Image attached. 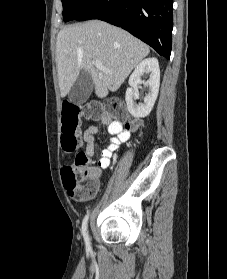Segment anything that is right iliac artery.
<instances>
[{"label": "right iliac artery", "instance_id": "1", "mask_svg": "<svg viewBox=\"0 0 227 279\" xmlns=\"http://www.w3.org/2000/svg\"><path fill=\"white\" fill-rule=\"evenodd\" d=\"M88 218H89V213L84 217L83 222H82V234L85 240V245L87 249H90V240H89V235H88V230H87V225H88Z\"/></svg>", "mask_w": 227, "mask_h": 279}]
</instances>
